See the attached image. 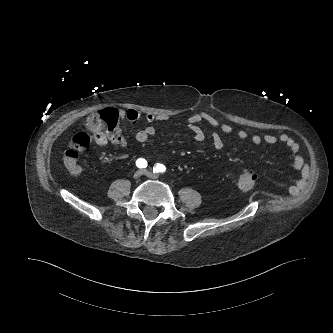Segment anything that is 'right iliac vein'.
<instances>
[{
  "instance_id": "right-iliac-vein-1",
  "label": "right iliac vein",
  "mask_w": 333,
  "mask_h": 333,
  "mask_svg": "<svg viewBox=\"0 0 333 333\" xmlns=\"http://www.w3.org/2000/svg\"><path fill=\"white\" fill-rule=\"evenodd\" d=\"M142 171L141 170H138V171H136L135 173H134V175H133V177L135 178V179H139L141 176H142Z\"/></svg>"
}]
</instances>
